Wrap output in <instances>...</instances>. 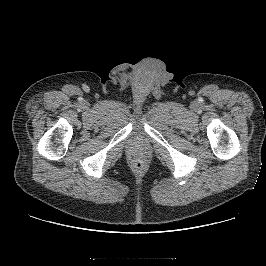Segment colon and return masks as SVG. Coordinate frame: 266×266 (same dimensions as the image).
I'll return each instance as SVG.
<instances>
[{
	"mask_svg": "<svg viewBox=\"0 0 266 266\" xmlns=\"http://www.w3.org/2000/svg\"><path fill=\"white\" fill-rule=\"evenodd\" d=\"M143 167H144V164H143V162H141V161H136L135 163H134V168L136 169V170H142L143 169Z\"/></svg>",
	"mask_w": 266,
	"mask_h": 266,
	"instance_id": "obj_1",
	"label": "colon"
}]
</instances>
